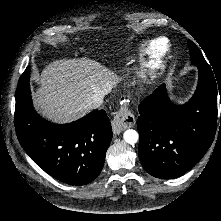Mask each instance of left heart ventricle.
I'll use <instances>...</instances> for the list:
<instances>
[{"label":"left heart ventricle","instance_id":"1","mask_svg":"<svg viewBox=\"0 0 221 221\" xmlns=\"http://www.w3.org/2000/svg\"><path fill=\"white\" fill-rule=\"evenodd\" d=\"M164 46H165V42L162 40L157 41L154 45V47L157 51H161L164 48Z\"/></svg>","mask_w":221,"mask_h":221}]
</instances>
